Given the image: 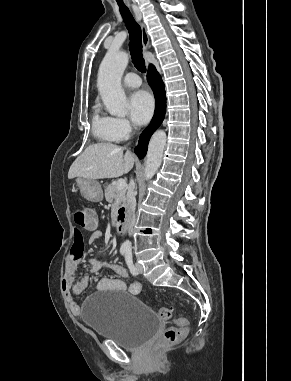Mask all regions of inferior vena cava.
I'll return each instance as SVG.
<instances>
[{
  "instance_id": "602c4592",
  "label": "inferior vena cava",
  "mask_w": 291,
  "mask_h": 381,
  "mask_svg": "<svg viewBox=\"0 0 291 381\" xmlns=\"http://www.w3.org/2000/svg\"><path fill=\"white\" fill-rule=\"evenodd\" d=\"M127 206H128V213H129V219H128V233L129 235L132 234L133 230V223L135 220V207H136V198L134 193V181H130L129 190L127 193Z\"/></svg>"
}]
</instances>
